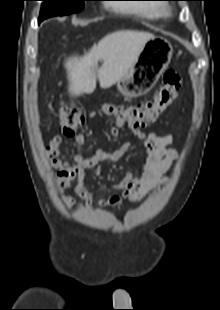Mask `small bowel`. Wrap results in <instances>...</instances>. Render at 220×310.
Masks as SVG:
<instances>
[{"label":"small bowel","mask_w":220,"mask_h":310,"mask_svg":"<svg viewBox=\"0 0 220 310\" xmlns=\"http://www.w3.org/2000/svg\"><path fill=\"white\" fill-rule=\"evenodd\" d=\"M119 134L118 128L110 129L112 137L116 138ZM134 134L143 141L147 153L141 173L134 176L131 172H127L119 182L111 185L113 189L120 190L121 194L99 200H96L83 186L86 171L95 169L97 175L100 176L101 163L119 160L129 149V143L123 144L112 152L98 150L89 156L77 153L73 157V162L70 163L62 154V136H54L46 146L45 152L49 165L58 168L56 179L60 192L69 188L71 183L76 180L75 192L78 196L97 205L119 206L123 199H128L132 204L139 203L149 191L168 181L165 173L172 168L178 156L177 151L170 148L174 136L171 134L159 136L154 132L146 135L139 130H135ZM86 140L87 137L84 133L75 135V142L78 145L85 144ZM61 199L68 208H71L75 202L74 197L68 195L62 194Z\"/></svg>","instance_id":"obj_1"}]
</instances>
